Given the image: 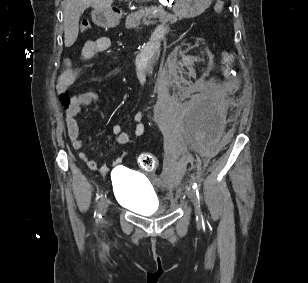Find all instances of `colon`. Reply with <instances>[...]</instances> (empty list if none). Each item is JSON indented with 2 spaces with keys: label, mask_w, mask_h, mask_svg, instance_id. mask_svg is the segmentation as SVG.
<instances>
[{
  "label": "colon",
  "mask_w": 308,
  "mask_h": 283,
  "mask_svg": "<svg viewBox=\"0 0 308 283\" xmlns=\"http://www.w3.org/2000/svg\"><path fill=\"white\" fill-rule=\"evenodd\" d=\"M225 4L223 0H217L214 6L216 13H221L224 10ZM81 31L86 32L91 28L89 21L83 20L81 22ZM234 62V54L231 50L224 53L221 63L222 74L227 77L230 75ZM60 100L62 104L68 108L71 104L72 98L65 92L60 93ZM139 166L145 171H153L158 166L157 158L151 153H142L138 159Z\"/></svg>",
  "instance_id": "1"
}]
</instances>
